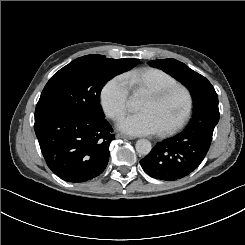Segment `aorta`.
Instances as JSON below:
<instances>
[{"mask_svg":"<svg viewBox=\"0 0 245 245\" xmlns=\"http://www.w3.org/2000/svg\"><path fill=\"white\" fill-rule=\"evenodd\" d=\"M136 151L143 156L148 155L152 150V145L147 139H139L135 144Z\"/></svg>","mask_w":245,"mask_h":245,"instance_id":"1","label":"aorta"}]
</instances>
